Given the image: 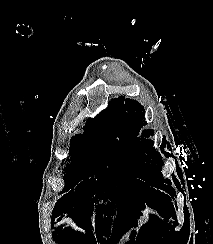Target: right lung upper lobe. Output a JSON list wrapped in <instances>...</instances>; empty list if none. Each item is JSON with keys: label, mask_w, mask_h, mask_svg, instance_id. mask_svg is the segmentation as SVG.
Instances as JSON below:
<instances>
[{"label": "right lung upper lobe", "mask_w": 213, "mask_h": 244, "mask_svg": "<svg viewBox=\"0 0 213 244\" xmlns=\"http://www.w3.org/2000/svg\"><path fill=\"white\" fill-rule=\"evenodd\" d=\"M101 115H103V116H105V117H108V114H106V111H103V112L101 113Z\"/></svg>", "instance_id": "obj_1"}]
</instances>
